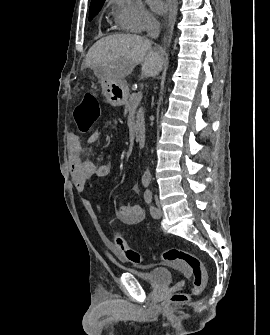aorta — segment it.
<instances>
[{"label": "aorta", "instance_id": "obj_1", "mask_svg": "<svg viewBox=\"0 0 270 335\" xmlns=\"http://www.w3.org/2000/svg\"><path fill=\"white\" fill-rule=\"evenodd\" d=\"M142 179H151V173H150V169H145L143 175H142Z\"/></svg>", "mask_w": 270, "mask_h": 335}]
</instances>
